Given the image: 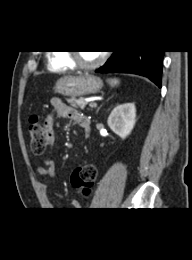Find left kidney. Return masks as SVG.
I'll return each instance as SVG.
<instances>
[{"label": "left kidney", "instance_id": "5707ae66", "mask_svg": "<svg viewBox=\"0 0 192 260\" xmlns=\"http://www.w3.org/2000/svg\"><path fill=\"white\" fill-rule=\"evenodd\" d=\"M108 126L120 138L130 135L136 122V108L134 103H124L116 106L108 117Z\"/></svg>", "mask_w": 192, "mask_h": 260}]
</instances>
